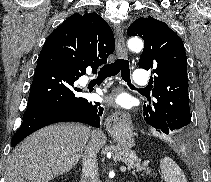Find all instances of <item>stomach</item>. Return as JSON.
<instances>
[{
  "instance_id": "0dacf381",
  "label": "stomach",
  "mask_w": 211,
  "mask_h": 182,
  "mask_svg": "<svg viewBox=\"0 0 211 182\" xmlns=\"http://www.w3.org/2000/svg\"><path fill=\"white\" fill-rule=\"evenodd\" d=\"M110 133L118 146L125 149H130L134 146L133 133L130 129L118 128L111 130Z\"/></svg>"
}]
</instances>
